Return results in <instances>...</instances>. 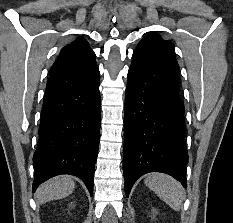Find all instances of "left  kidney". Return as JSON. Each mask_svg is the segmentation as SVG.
Masks as SVG:
<instances>
[{
    "label": "left kidney",
    "instance_id": "obj_1",
    "mask_svg": "<svg viewBox=\"0 0 233 223\" xmlns=\"http://www.w3.org/2000/svg\"><path fill=\"white\" fill-rule=\"evenodd\" d=\"M151 211H152L151 217H153V219H154V217H155V215H157L158 211H157V209H154V207H153V209H151Z\"/></svg>",
    "mask_w": 233,
    "mask_h": 223
}]
</instances>
